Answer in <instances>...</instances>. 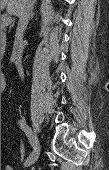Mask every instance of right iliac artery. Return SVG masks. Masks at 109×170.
Wrapping results in <instances>:
<instances>
[{"label": "right iliac artery", "mask_w": 109, "mask_h": 170, "mask_svg": "<svg viewBox=\"0 0 109 170\" xmlns=\"http://www.w3.org/2000/svg\"><path fill=\"white\" fill-rule=\"evenodd\" d=\"M18 124H19L20 128L24 131V133L26 134L29 142L31 143V145H32L33 148H34V143H33L32 139H31V137H30V128L28 127V125L26 124V122L23 121V120H19V121H18Z\"/></svg>", "instance_id": "obj_1"}]
</instances>
